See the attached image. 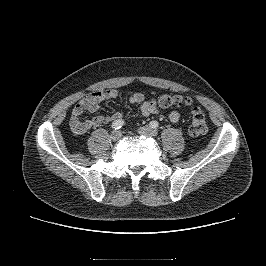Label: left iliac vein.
Listing matches in <instances>:
<instances>
[{"label": "left iliac vein", "instance_id": "obj_1", "mask_svg": "<svg viewBox=\"0 0 266 266\" xmlns=\"http://www.w3.org/2000/svg\"><path fill=\"white\" fill-rule=\"evenodd\" d=\"M138 133L141 135H145L147 137H156L158 134V132L155 129H153L149 126L140 127L138 129Z\"/></svg>", "mask_w": 266, "mask_h": 266}]
</instances>
